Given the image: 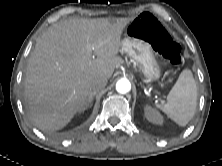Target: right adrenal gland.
Listing matches in <instances>:
<instances>
[{
  "label": "right adrenal gland",
  "mask_w": 222,
  "mask_h": 166,
  "mask_svg": "<svg viewBox=\"0 0 222 166\" xmlns=\"http://www.w3.org/2000/svg\"><path fill=\"white\" fill-rule=\"evenodd\" d=\"M94 96H95V94H93L89 97L86 105L80 110V113L84 112L87 108L91 107Z\"/></svg>",
  "instance_id": "1"
}]
</instances>
